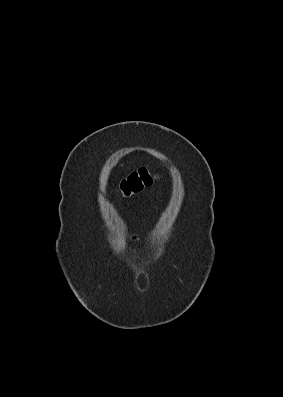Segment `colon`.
Wrapping results in <instances>:
<instances>
[{
  "label": "colon",
  "instance_id": "obj_1",
  "mask_svg": "<svg viewBox=\"0 0 283 397\" xmlns=\"http://www.w3.org/2000/svg\"><path fill=\"white\" fill-rule=\"evenodd\" d=\"M157 179L156 173L149 168H139L124 178L118 188L119 198H129L151 186Z\"/></svg>",
  "mask_w": 283,
  "mask_h": 397
}]
</instances>
